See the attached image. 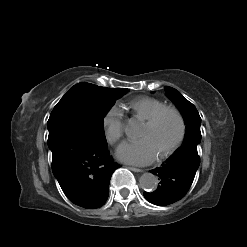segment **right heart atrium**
Returning <instances> with one entry per match:
<instances>
[{
	"instance_id": "1",
	"label": "right heart atrium",
	"mask_w": 247,
	"mask_h": 247,
	"mask_svg": "<svg viewBox=\"0 0 247 247\" xmlns=\"http://www.w3.org/2000/svg\"><path fill=\"white\" fill-rule=\"evenodd\" d=\"M102 128L106 141L115 145L122 137L124 131L123 116L118 106L107 110L102 119Z\"/></svg>"
}]
</instances>
